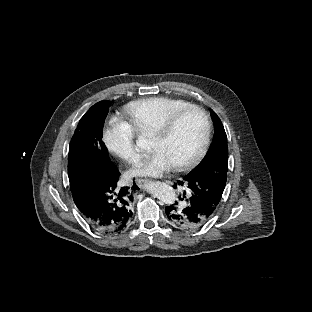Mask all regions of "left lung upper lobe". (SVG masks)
Instances as JSON below:
<instances>
[{
  "label": "left lung upper lobe",
  "mask_w": 312,
  "mask_h": 312,
  "mask_svg": "<svg viewBox=\"0 0 312 312\" xmlns=\"http://www.w3.org/2000/svg\"><path fill=\"white\" fill-rule=\"evenodd\" d=\"M214 124V139L204 159L186 176L195 177L203 172L220 169L228 171V147L227 136L221 120L217 114L211 110L210 112Z\"/></svg>",
  "instance_id": "left-lung-upper-lobe-1"
}]
</instances>
